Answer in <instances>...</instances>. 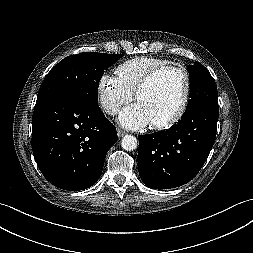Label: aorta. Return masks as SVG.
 <instances>
[{
  "mask_svg": "<svg viewBox=\"0 0 253 253\" xmlns=\"http://www.w3.org/2000/svg\"><path fill=\"white\" fill-rule=\"evenodd\" d=\"M138 141L132 135H125L121 141V147L126 151H133L137 148Z\"/></svg>",
  "mask_w": 253,
  "mask_h": 253,
  "instance_id": "1",
  "label": "aorta"
}]
</instances>
